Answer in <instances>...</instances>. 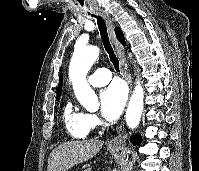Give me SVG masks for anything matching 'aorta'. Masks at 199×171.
I'll return each mask as SVG.
<instances>
[{"label": "aorta", "mask_w": 199, "mask_h": 171, "mask_svg": "<svg viewBox=\"0 0 199 171\" xmlns=\"http://www.w3.org/2000/svg\"><path fill=\"white\" fill-rule=\"evenodd\" d=\"M98 56L99 49L95 46L76 48L69 65V78L76 98L88 110L97 109L99 106L97 95L86 80V75ZM143 100L144 91L138 80L125 117L127 126L131 129L136 128L140 122L144 105Z\"/></svg>", "instance_id": "aorta-1"}]
</instances>
